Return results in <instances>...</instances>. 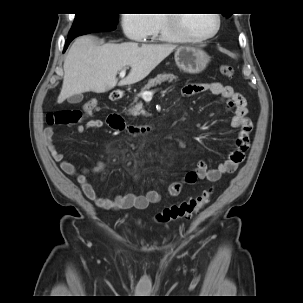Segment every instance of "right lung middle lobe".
<instances>
[{"mask_svg": "<svg viewBox=\"0 0 303 303\" xmlns=\"http://www.w3.org/2000/svg\"><path fill=\"white\" fill-rule=\"evenodd\" d=\"M118 13H83L76 14L68 37L80 36L93 29L113 28L117 26Z\"/></svg>", "mask_w": 303, "mask_h": 303, "instance_id": "dd1d6c3e", "label": "right lung middle lobe"}]
</instances>
